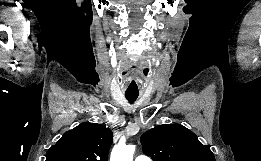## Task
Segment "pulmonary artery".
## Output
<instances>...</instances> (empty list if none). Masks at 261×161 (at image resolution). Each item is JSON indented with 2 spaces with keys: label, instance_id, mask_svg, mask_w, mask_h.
Returning <instances> with one entry per match:
<instances>
[{
  "label": "pulmonary artery",
  "instance_id": "e3ab8cb5",
  "mask_svg": "<svg viewBox=\"0 0 261 161\" xmlns=\"http://www.w3.org/2000/svg\"><path fill=\"white\" fill-rule=\"evenodd\" d=\"M135 161H152L150 157L146 155H138Z\"/></svg>",
  "mask_w": 261,
  "mask_h": 161
}]
</instances>
